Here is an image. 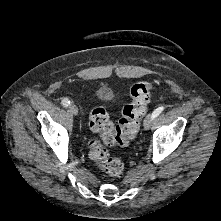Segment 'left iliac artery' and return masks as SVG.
Returning a JSON list of instances; mask_svg holds the SVG:
<instances>
[{
    "instance_id": "1",
    "label": "left iliac artery",
    "mask_w": 221,
    "mask_h": 221,
    "mask_svg": "<svg viewBox=\"0 0 221 221\" xmlns=\"http://www.w3.org/2000/svg\"><path fill=\"white\" fill-rule=\"evenodd\" d=\"M164 110V106H159L155 111L152 113L153 119L156 118L162 111Z\"/></svg>"
}]
</instances>
